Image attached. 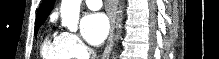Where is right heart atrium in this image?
<instances>
[{
	"label": "right heart atrium",
	"instance_id": "1",
	"mask_svg": "<svg viewBox=\"0 0 219 59\" xmlns=\"http://www.w3.org/2000/svg\"><path fill=\"white\" fill-rule=\"evenodd\" d=\"M67 49L71 55L76 58H83L89 53V49L81 41L78 35L64 31L62 32Z\"/></svg>",
	"mask_w": 219,
	"mask_h": 59
}]
</instances>
